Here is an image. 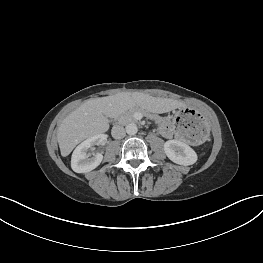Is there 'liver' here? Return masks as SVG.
I'll return each instance as SVG.
<instances>
[{
  "instance_id": "6515ba94",
  "label": "liver",
  "mask_w": 263,
  "mask_h": 263,
  "mask_svg": "<svg viewBox=\"0 0 263 263\" xmlns=\"http://www.w3.org/2000/svg\"><path fill=\"white\" fill-rule=\"evenodd\" d=\"M139 106L154 113H166L183 103L169 98H156L140 92H121L112 96L85 101L61 123L57 141L63 157L68 156L81 141L109 129L108 117L116 118Z\"/></svg>"
}]
</instances>
